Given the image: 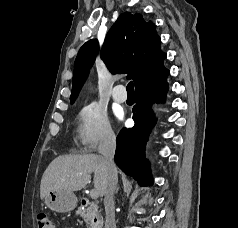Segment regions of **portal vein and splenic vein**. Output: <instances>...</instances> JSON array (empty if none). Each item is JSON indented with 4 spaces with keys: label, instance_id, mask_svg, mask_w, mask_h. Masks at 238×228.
I'll use <instances>...</instances> for the list:
<instances>
[{
    "label": "portal vein and splenic vein",
    "instance_id": "obj_1",
    "mask_svg": "<svg viewBox=\"0 0 238 228\" xmlns=\"http://www.w3.org/2000/svg\"><path fill=\"white\" fill-rule=\"evenodd\" d=\"M90 197H91L92 199H97V198L99 197L98 191H97L96 189H92V190L90 191Z\"/></svg>",
    "mask_w": 238,
    "mask_h": 228
}]
</instances>
